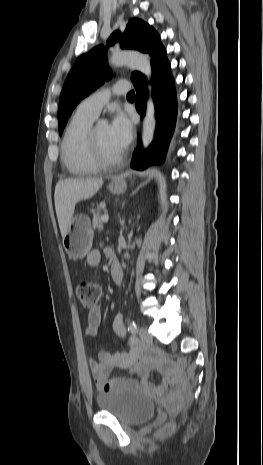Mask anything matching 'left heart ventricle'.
<instances>
[{
	"mask_svg": "<svg viewBox=\"0 0 263 465\" xmlns=\"http://www.w3.org/2000/svg\"><path fill=\"white\" fill-rule=\"evenodd\" d=\"M96 134L100 149L106 157H116L122 152L113 142L108 125H98Z\"/></svg>",
	"mask_w": 263,
	"mask_h": 465,
	"instance_id": "left-heart-ventricle-1",
	"label": "left heart ventricle"
}]
</instances>
